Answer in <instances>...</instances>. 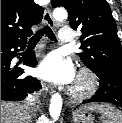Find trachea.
<instances>
[{"label": "trachea", "instance_id": "1", "mask_svg": "<svg viewBox=\"0 0 122 123\" xmlns=\"http://www.w3.org/2000/svg\"><path fill=\"white\" fill-rule=\"evenodd\" d=\"M46 35L50 40L56 41V36L51 28L46 25L42 29L38 30L29 40V45H36L43 35Z\"/></svg>", "mask_w": 122, "mask_h": 123}]
</instances>
